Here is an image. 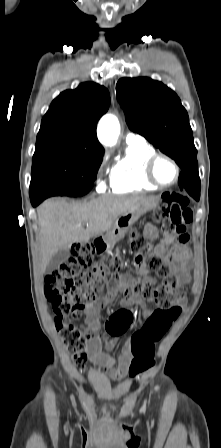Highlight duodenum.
<instances>
[{"instance_id":"obj_1","label":"duodenum","mask_w":221,"mask_h":448,"mask_svg":"<svg viewBox=\"0 0 221 448\" xmlns=\"http://www.w3.org/2000/svg\"><path fill=\"white\" fill-rule=\"evenodd\" d=\"M94 246L98 253H102L106 249V244L102 240L95 241Z\"/></svg>"}]
</instances>
